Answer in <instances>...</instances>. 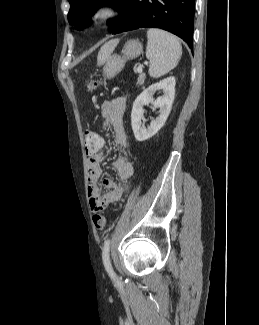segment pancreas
<instances>
[{
	"label": "pancreas",
	"mask_w": 259,
	"mask_h": 325,
	"mask_svg": "<svg viewBox=\"0 0 259 325\" xmlns=\"http://www.w3.org/2000/svg\"><path fill=\"white\" fill-rule=\"evenodd\" d=\"M145 79H146V75H145V73H140V74H139V77H138V79H137V85H143Z\"/></svg>",
	"instance_id": "obj_1"
}]
</instances>
